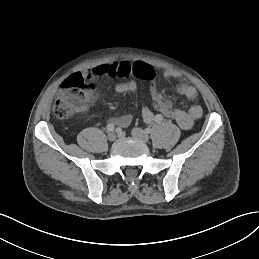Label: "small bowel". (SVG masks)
Here are the masks:
<instances>
[{"mask_svg": "<svg viewBox=\"0 0 259 259\" xmlns=\"http://www.w3.org/2000/svg\"><path fill=\"white\" fill-rule=\"evenodd\" d=\"M130 75L140 79L149 80L152 83L151 94L155 107L166 117L175 120L182 129H190L195 120L202 116V108L198 105H192L188 110H182L175 108L170 100L162 97L154 83L156 71L151 65L143 61H111L88 70L83 77L87 81L91 82L100 76L128 77ZM163 76L167 79L178 78L179 74L174 70H167L163 73ZM136 88L137 85L134 80H129L116 86V90L119 93L132 92L136 90ZM177 92L184 95L189 100H194L197 97L196 89L184 82L177 86ZM142 115L146 121H150L153 117L152 111L148 108L143 109ZM131 120L132 117L130 114H123L112 118L111 122L119 127L125 128L131 123Z\"/></svg>", "mask_w": 259, "mask_h": 259, "instance_id": "1", "label": "small bowel"}]
</instances>
